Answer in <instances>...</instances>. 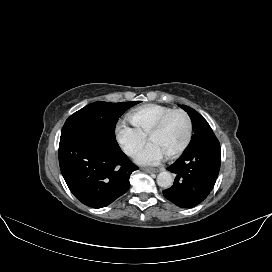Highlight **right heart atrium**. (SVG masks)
<instances>
[{
  "label": "right heart atrium",
  "instance_id": "1",
  "mask_svg": "<svg viewBox=\"0 0 272 272\" xmlns=\"http://www.w3.org/2000/svg\"><path fill=\"white\" fill-rule=\"evenodd\" d=\"M116 138L123 151L129 156H135L146 142L147 136L130 126L125 120H120L116 125Z\"/></svg>",
  "mask_w": 272,
  "mask_h": 272
}]
</instances>
